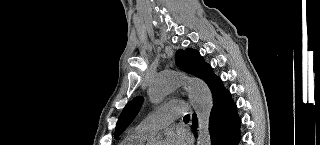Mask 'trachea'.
<instances>
[{"label": "trachea", "instance_id": "trachea-1", "mask_svg": "<svg viewBox=\"0 0 320 145\" xmlns=\"http://www.w3.org/2000/svg\"><path fill=\"white\" fill-rule=\"evenodd\" d=\"M190 116L189 114H187L185 117H184V120H189Z\"/></svg>", "mask_w": 320, "mask_h": 145}]
</instances>
